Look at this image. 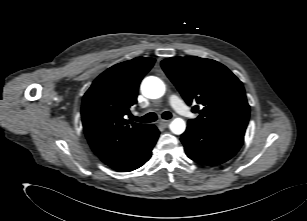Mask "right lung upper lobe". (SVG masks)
Wrapping results in <instances>:
<instances>
[{"instance_id":"obj_1","label":"right lung upper lobe","mask_w":307,"mask_h":221,"mask_svg":"<svg viewBox=\"0 0 307 221\" xmlns=\"http://www.w3.org/2000/svg\"><path fill=\"white\" fill-rule=\"evenodd\" d=\"M155 59L134 58L116 64L99 75L82 101V123L92 151L105 163L133 146L151 125H127L126 115L136 104L144 75Z\"/></svg>"}]
</instances>
